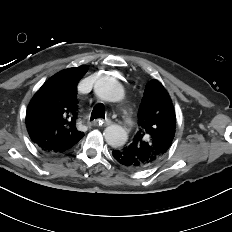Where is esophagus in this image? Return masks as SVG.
<instances>
[{"mask_svg":"<svg viewBox=\"0 0 232 232\" xmlns=\"http://www.w3.org/2000/svg\"><path fill=\"white\" fill-rule=\"evenodd\" d=\"M112 122L109 119L103 120V119H98V120H94L92 122V125L94 126H108L110 125Z\"/></svg>","mask_w":232,"mask_h":232,"instance_id":"obj_1","label":"esophagus"}]
</instances>
